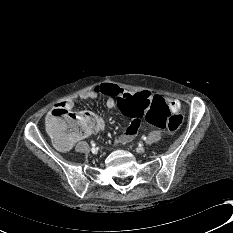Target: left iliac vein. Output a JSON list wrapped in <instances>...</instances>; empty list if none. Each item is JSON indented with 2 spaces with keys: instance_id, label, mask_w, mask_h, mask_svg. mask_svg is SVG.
I'll list each match as a JSON object with an SVG mask.
<instances>
[{
  "instance_id": "4c4485c4",
  "label": "left iliac vein",
  "mask_w": 233,
  "mask_h": 233,
  "mask_svg": "<svg viewBox=\"0 0 233 233\" xmlns=\"http://www.w3.org/2000/svg\"><path fill=\"white\" fill-rule=\"evenodd\" d=\"M137 152L138 153H144L145 152V147L144 146H139V147H137Z\"/></svg>"
}]
</instances>
